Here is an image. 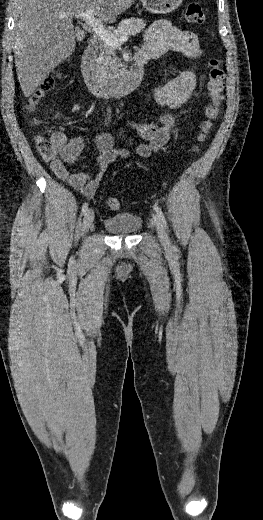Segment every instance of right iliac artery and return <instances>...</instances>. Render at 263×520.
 I'll use <instances>...</instances> for the list:
<instances>
[{
    "mask_svg": "<svg viewBox=\"0 0 263 520\" xmlns=\"http://www.w3.org/2000/svg\"><path fill=\"white\" fill-rule=\"evenodd\" d=\"M87 210H88V204L84 203L82 206V214L86 213Z\"/></svg>",
    "mask_w": 263,
    "mask_h": 520,
    "instance_id": "obj_1",
    "label": "right iliac artery"
}]
</instances>
